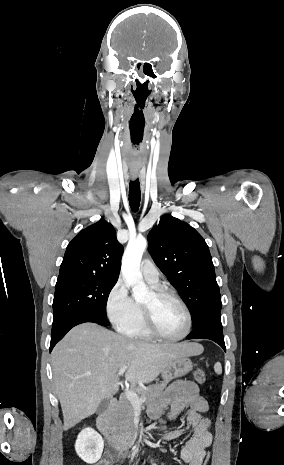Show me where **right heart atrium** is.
Returning <instances> with one entry per match:
<instances>
[{"label":"right heart atrium","instance_id":"right-heart-atrium-1","mask_svg":"<svg viewBox=\"0 0 284 465\" xmlns=\"http://www.w3.org/2000/svg\"><path fill=\"white\" fill-rule=\"evenodd\" d=\"M138 310L139 306L129 295L126 284L123 280H118L109 291L105 301V312L109 321L122 329L135 319Z\"/></svg>","mask_w":284,"mask_h":465}]
</instances>
